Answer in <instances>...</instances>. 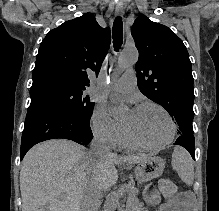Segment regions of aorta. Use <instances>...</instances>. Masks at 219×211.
I'll list each match as a JSON object with an SVG mask.
<instances>
[{
	"mask_svg": "<svg viewBox=\"0 0 219 211\" xmlns=\"http://www.w3.org/2000/svg\"><path fill=\"white\" fill-rule=\"evenodd\" d=\"M138 60V51L136 49H124L118 58V68L123 70L132 65H134ZM127 107L125 105L119 104L115 105L111 109V114L113 117L117 118L121 116ZM120 195L117 191L111 192L104 203V211H115L119 206Z\"/></svg>",
	"mask_w": 219,
	"mask_h": 211,
	"instance_id": "1",
	"label": "aorta"
}]
</instances>
